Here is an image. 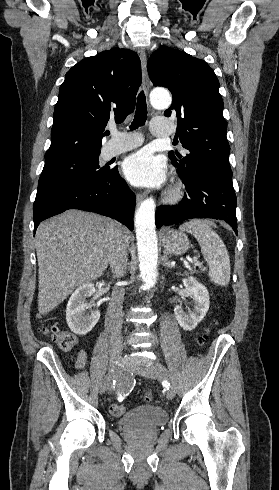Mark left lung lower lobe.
Returning a JSON list of instances; mask_svg holds the SVG:
<instances>
[{
  "label": "left lung lower lobe",
  "mask_w": 279,
  "mask_h": 490,
  "mask_svg": "<svg viewBox=\"0 0 279 490\" xmlns=\"http://www.w3.org/2000/svg\"><path fill=\"white\" fill-rule=\"evenodd\" d=\"M186 187L183 200L175 206H160L156 227L192 218L224 220L237 232L236 195L232 175L211 168H200L180 175Z\"/></svg>",
  "instance_id": "0a47b994"
}]
</instances>
